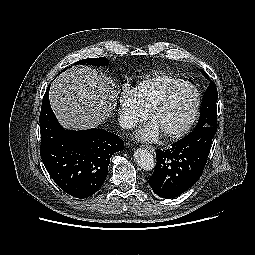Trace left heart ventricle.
<instances>
[{"mask_svg": "<svg viewBox=\"0 0 255 255\" xmlns=\"http://www.w3.org/2000/svg\"><path fill=\"white\" fill-rule=\"evenodd\" d=\"M195 101V90L186 88L160 111L152 121L158 126L161 133L175 131L184 126L190 119Z\"/></svg>", "mask_w": 255, "mask_h": 255, "instance_id": "obj_1", "label": "left heart ventricle"}]
</instances>
